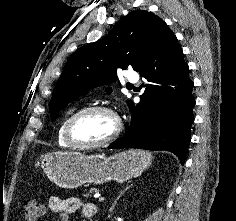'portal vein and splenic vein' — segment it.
<instances>
[{
  "label": "portal vein and splenic vein",
  "mask_w": 236,
  "mask_h": 221,
  "mask_svg": "<svg viewBox=\"0 0 236 221\" xmlns=\"http://www.w3.org/2000/svg\"><path fill=\"white\" fill-rule=\"evenodd\" d=\"M98 200H99V202H103L105 200V198L104 197H99Z\"/></svg>",
  "instance_id": "obj_1"
}]
</instances>
